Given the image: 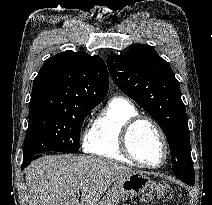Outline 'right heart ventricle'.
I'll list each match as a JSON object with an SVG mask.
<instances>
[{
	"label": "right heart ventricle",
	"mask_w": 212,
	"mask_h": 205,
	"mask_svg": "<svg viewBox=\"0 0 212 205\" xmlns=\"http://www.w3.org/2000/svg\"><path fill=\"white\" fill-rule=\"evenodd\" d=\"M139 115L128 100L113 98L93 121L84 141V150L92 155L132 164L120 145L121 131L133 117Z\"/></svg>",
	"instance_id": "1"
}]
</instances>
